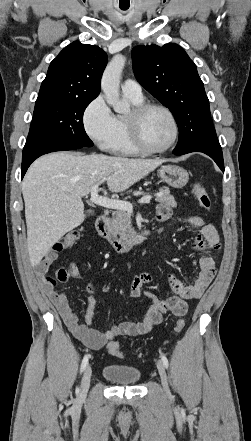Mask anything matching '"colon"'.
Masks as SVG:
<instances>
[{
    "label": "colon",
    "mask_w": 251,
    "mask_h": 441,
    "mask_svg": "<svg viewBox=\"0 0 251 441\" xmlns=\"http://www.w3.org/2000/svg\"><path fill=\"white\" fill-rule=\"evenodd\" d=\"M192 193L196 197V199L199 202V205L203 209L210 210L211 205H212L211 198L201 183L196 182L194 184L193 189H192ZM79 238H80L79 231L72 230V231L66 233L58 242L55 243V245L53 246V250L55 252H60L64 249H67V248L73 246L75 243H77ZM70 274H71V272H68L65 269H58V270H56L54 277H48V278L44 277V280L46 282L52 283V284H54L55 282H63L68 279ZM184 327H185V321L182 319H179L176 321L174 329L176 332L179 333L184 329ZM108 353L111 355H116V356L122 357L123 354L121 352L120 343L117 341L111 342L108 345Z\"/></svg>",
    "instance_id": "colon-1"
}]
</instances>
